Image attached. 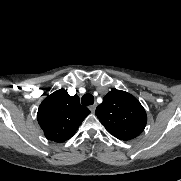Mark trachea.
<instances>
[{"label": "trachea", "instance_id": "1", "mask_svg": "<svg viewBox=\"0 0 181 181\" xmlns=\"http://www.w3.org/2000/svg\"><path fill=\"white\" fill-rule=\"evenodd\" d=\"M82 105H92L94 103V97L91 94L83 95L81 99Z\"/></svg>", "mask_w": 181, "mask_h": 181}]
</instances>
